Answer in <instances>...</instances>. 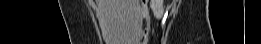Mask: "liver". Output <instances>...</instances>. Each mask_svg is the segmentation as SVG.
<instances>
[{"instance_id":"6515ba94","label":"liver","mask_w":261,"mask_h":44,"mask_svg":"<svg viewBox=\"0 0 261 44\" xmlns=\"http://www.w3.org/2000/svg\"><path fill=\"white\" fill-rule=\"evenodd\" d=\"M106 15L108 41L137 44L141 38L142 15L139 0H99Z\"/></svg>"}]
</instances>
